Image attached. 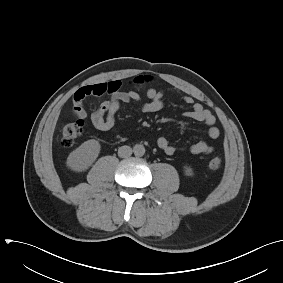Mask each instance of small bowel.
I'll return each mask as SVG.
<instances>
[{"mask_svg":"<svg viewBox=\"0 0 283 283\" xmlns=\"http://www.w3.org/2000/svg\"><path fill=\"white\" fill-rule=\"evenodd\" d=\"M108 95V99L103 101L99 107L90 115L92 125L99 131L106 132L115 127L116 114L122 104L141 101L140 95L134 91H122L120 81L114 80L104 83L86 85L79 88L73 95V114L79 120L87 117V112L83 107V101L88 96ZM165 92L155 88L147 90L148 102L141 105V111L144 113L159 112L164 107ZM184 103L191 109L185 113V116L191 120L204 123L208 127V136L210 139L219 137V130L215 126L216 117L202 104L196 102L190 95H182ZM158 147L167 155H173L177 147L172 145L166 137H159ZM191 153L195 155H206L213 151V148L206 141H198L190 147Z\"/></svg>","mask_w":283,"mask_h":283,"instance_id":"small-bowel-1","label":"small bowel"}]
</instances>
